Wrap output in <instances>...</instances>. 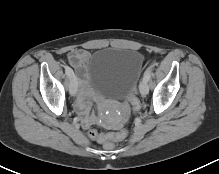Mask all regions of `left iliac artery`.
Returning <instances> with one entry per match:
<instances>
[{
    "label": "left iliac artery",
    "instance_id": "1",
    "mask_svg": "<svg viewBox=\"0 0 219 174\" xmlns=\"http://www.w3.org/2000/svg\"><path fill=\"white\" fill-rule=\"evenodd\" d=\"M152 70H153V66L151 65V66H149L147 69H146V71H145V73H144V80H146L147 82L149 81V79H150V77H151V74H152Z\"/></svg>",
    "mask_w": 219,
    "mask_h": 174
}]
</instances>
